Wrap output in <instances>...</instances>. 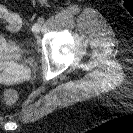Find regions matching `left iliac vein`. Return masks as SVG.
<instances>
[{
	"label": "left iliac vein",
	"instance_id": "obj_1",
	"mask_svg": "<svg viewBox=\"0 0 133 133\" xmlns=\"http://www.w3.org/2000/svg\"><path fill=\"white\" fill-rule=\"evenodd\" d=\"M40 30H41V23L40 22H35L34 24H33V26H32V31H33V33H35V34H38L39 32H40Z\"/></svg>",
	"mask_w": 133,
	"mask_h": 133
}]
</instances>
